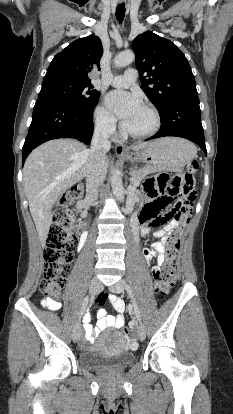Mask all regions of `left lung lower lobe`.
Instances as JSON below:
<instances>
[{
	"mask_svg": "<svg viewBox=\"0 0 233 414\" xmlns=\"http://www.w3.org/2000/svg\"><path fill=\"white\" fill-rule=\"evenodd\" d=\"M160 118V130L147 140L165 136L182 137L199 145L205 155L207 154L198 95L175 99Z\"/></svg>",
	"mask_w": 233,
	"mask_h": 414,
	"instance_id": "left-lung-lower-lobe-1",
	"label": "left lung lower lobe"
}]
</instances>
